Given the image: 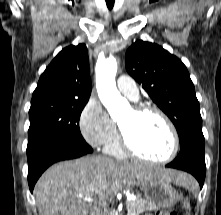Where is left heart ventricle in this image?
<instances>
[{
  "label": "left heart ventricle",
  "instance_id": "1",
  "mask_svg": "<svg viewBox=\"0 0 221 215\" xmlns=\"http://www.w3.org/2000/svg\"><path fill=\"white\" fill-rule=\"evenodd\" d=\"M133 147L142 155L159 160L171 151L172 138L163 120L154 113L137 115L130 110L119 121Z\"/></svg>",
  "mask_w": 221,
  "mask_h": 215
}]
</instances>
